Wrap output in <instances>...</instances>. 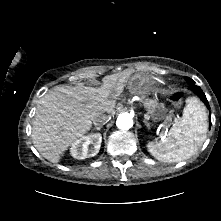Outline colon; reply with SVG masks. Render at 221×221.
Returning a JSON list of instances; mask_svg holds the SVG:
<instances>
[{"instance_id": "5ec220e1", "label": "colon", "mask_w": 221, "mask_h": 221, "mask_svg": "<svg viewBox=\"0 0 221 221\" xmlns=\"http://www.w3.org/2000/svg\"><path fill=\"white\" fill-rule=\"evenodd\" d=\"M181 99L182 95L180 93H175L171 96V101L176 107H179L181 105Z\"/></svg>"}]
</instances>
